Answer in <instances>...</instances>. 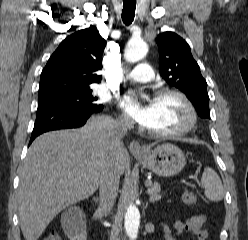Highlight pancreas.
<instances>
[{
    "mask_svg": "<svg viewBox=\"0 0 248 240\" xmlns=\"http://www.w3.org/2000/svg\"><path fill=\"white\" fill-rule=\"evenodd\" d=\"M160 191L161 188L158 183L150 185V187L147 190V193L149 195V199L151 202H155L161 198Z\"/></svg>",
    "mask_w": 248,
    "mask_h": 240,
    "instance_id": "pancreas-1",
    "label": "pancreas"
}]
</instances>
